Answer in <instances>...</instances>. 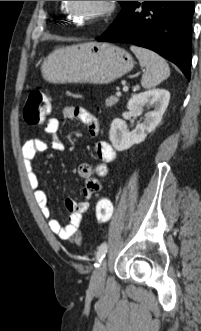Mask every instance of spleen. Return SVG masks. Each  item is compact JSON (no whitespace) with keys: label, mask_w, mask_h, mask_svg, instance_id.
Returning a JSON list of instances; mask_svg holds the SVG:
<instances>
[{"label":"spleen","mask_w":201,"mask_h":331,"mask_svg":"<svg viewBox=\"0 0 201 331\" xmlns=\"http://www.w3.org/2000/svg\"><path fill=\"white\" fill-rule=\"evenodd\" d=\"M130 50L136 55L140 65L145 67L141 79L143 88H153L169 77V65L160 55L149 49L135 45L130 46Z\"/></svg>","instance_id":"obj_1"}]
</instances>
